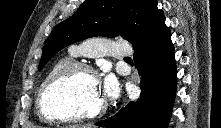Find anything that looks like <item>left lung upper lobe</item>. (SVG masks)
I'll use <instances>...</instances> for the list:
<instances>
[{"mask_svg":"<svg viewBox=\"0 0 221 128\" xmlns=\"http://www.w3.org/2000/svg\"><path fill=\"white\" fill-rule=\"evenodd\" d=\"M157 0H86L47 38L39 70L64 47L94 36H121L142 44L164 15Z\"/></svg>","mask_w":221,"mask_h":128,"instance_id":"1","label":"left lung upper lobe"}]
</instances>
